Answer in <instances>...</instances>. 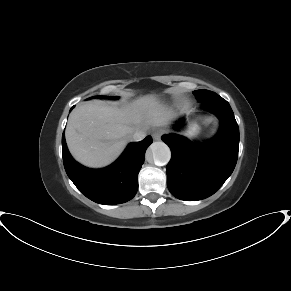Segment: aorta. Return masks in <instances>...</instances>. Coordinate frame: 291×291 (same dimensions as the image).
Masks as SVG:
<instances>
[{"label": "aorta", "mask_w": 291, "mask_h": 291, "mask_svg": "<svg viewBox=\"0 0 291 291\" xmlns=\"http://www.w3.org/2000/svg\"><path fill=\"white\" fill-rule=\"evenodd\" d=\"M149 153L158 166L166 165L171 158L170 148L162 141L153 142L149 147Z\"/></svg>", "instance_id": "1"}]
</instances>
